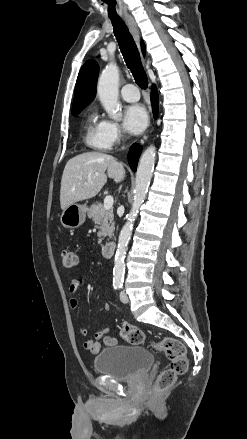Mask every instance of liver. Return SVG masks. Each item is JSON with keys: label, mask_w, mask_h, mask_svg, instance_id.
<instances>
[{"label": "liver", "mask_w": 247, "mask_h": 439, "mask_svg": "<svg viewBox=\"0 0 247 439\" xmlns=\"http://www.w3.org/2000/svg\"><path fill=\"white\" fill-rule=\"evenodd\" d=\"M106 171L116 183L125 178L123 164L111 155L87 152L71 158L65 165L61 179V209L97 195L107 182Z\"/></svg>", "instance_id": "liver-1"}]
</instances>
